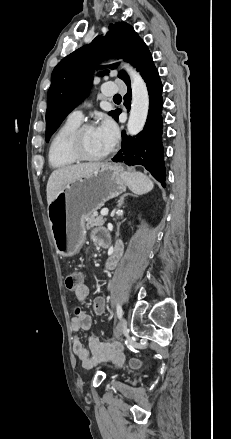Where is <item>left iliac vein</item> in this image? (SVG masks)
<instances>
[{"label":"left iliac vein","instance_id":"left-iliac-vein-1","mask_svg":"<svg viewBox=\"0 0 231 439\" xmlns=\"http://www.w3.org/2000/svg\"><path fill=\"white\" fill-rule=\"evenodd\" d=\"M127 331V322L126 319L123 317L120 319V322L118 324V329H117V333H116V338H120L121 335L125 334Z\"/></svg>","mask_w":231,"mask_h":439}]
</instances>
